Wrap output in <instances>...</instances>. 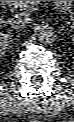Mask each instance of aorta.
<instances>
[{"instance_id":"762f6f07","label":"aorta","mask_w":74,"mask_h":122,"mask_svg":"<svg viewBox=\"0 0 74 122\" xmlns=\"http://www.w3.org/2000/svg\"><path fill=\"white\" fill-rule=\"evenodd\" d=\"M37 38L42 44H51L56 38V32L49 25H42L38 28Z\"/></svg>"}]
</instances>
